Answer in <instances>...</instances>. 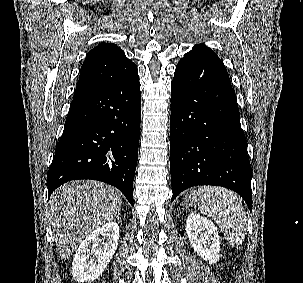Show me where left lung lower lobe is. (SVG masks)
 I'll use <instances>...</instances> for the list:
<instances>
[{
  "mask_svg": "<svg viewBox=\"0 0 303 283\" xmlns=\"http://www.w3.org/2000/svg\"><path fill=\"white\" fill-rule=\"evenodd\" d=\"M170 171L173 196L198 185L237 192L252 209V170L228 72L209 48L178 62L171 84Z\"/></svg>",
  "mask_w": 303,
  "mask_h": 283,
  "instance_id": "obj_1",
  "label": "left lung lower lobe"
}]
</instances>
